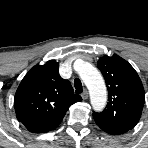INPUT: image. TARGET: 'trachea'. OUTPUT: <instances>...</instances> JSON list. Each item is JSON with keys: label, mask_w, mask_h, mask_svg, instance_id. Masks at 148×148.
<instances>
[{"label": "trachea", "mask_w": 148, "mask_h": 148, "mask_svg": "<svg viewBox=\"0 0 148 148\" xmlns=\"http://www.w3.org/2000/svg\"><path fill=\"white\" fill-rule=\"evenodd\" d=\"M74 86H75V89H76L75 90L76 93H82V91H83L82 83L78 78H76L74 80Z\"/></svg>", "instance_id": "3493384b"}]
</instances>
